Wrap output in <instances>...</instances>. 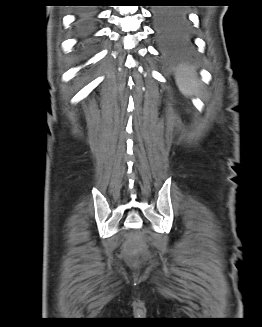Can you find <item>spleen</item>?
<instances>
[{"mask_svg":"<svg viewBox=\"0 0 262 327\" xmlns=\"http://www.w3.org/2000/svg\"><path fill=\"white\" fill-rule=\"evenodd\" d=\"M176 84L185 96L196 95L200 90V83L193 68L180 67L175 74Z\"/></svg>","mask_w":262,"mask_h":327,"instance_id":"spleen-1","label":"spleen"}]
</instances>
